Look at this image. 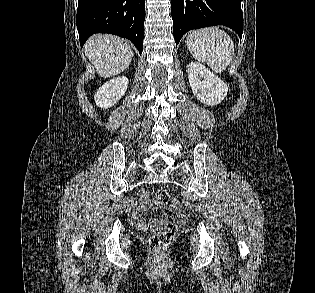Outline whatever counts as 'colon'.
<instances>
[{
    "mask_svg": "<svg viewBox=\"0 0 315 293\" xmlns=\"http://www.w3.org/2000/svg\"><path fill=\"white\" fill-rule=\"evenodd\" d=\"M154 202L170 205L175 209L174 220H166L162 224V229L155 230V233L149 240V248L152 253L158 258H166L168 248L176 235L178 223L184 222L186 215L182 211L179 202L176 199H172L170 194L164 189H159L155 192Z\"/></svg>",
    "mask_w": 315,
    "mask_h": 293,
    "instance_id": "1",
    "label": "colon"
}]
</instances>
